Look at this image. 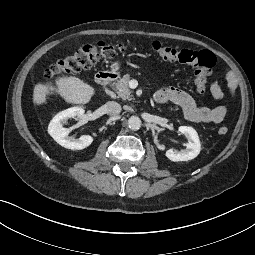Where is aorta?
<instances>
[{"mask_svg":"<svg viewBox=\"0 0 255 255\" xmlns=\"http://www.w3.org/2000/svg\"><path fill=\"white\" fill-rule=\"evenodd\" d=\"M127 124H128L129 129L136 131V130H139L141 128L142 122H141V119L138 116H131L128 119Z\"/></svg>","mask_w":255,"mask_h":255,"instance_id":"obj_1","label":"aorta"}]
</instances>
